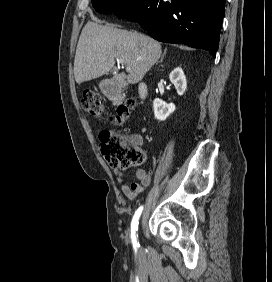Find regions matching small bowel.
I'll list each match as a JSON object with an SVG mask.
<instances>
[{"label":"small bowel","mask_w":272,"mask_h":282,"mask_svg":"<svg viewBox=\"0 0 272 282\" xmlns=\"http://www.w3.org/2000/svg\"><path fill=\"white\" fill-rule=\"evenodd\" d=\"M129 139L138 146H141L143 143V137L140 134H133ZM114 174L124 194L130 199L136 198L151 183V176L142 168H137L136 170V177L139 183L130 184L124 175V171L114 169Z\"/></svg>","instance_id":"small-bowel-1"}]
</instances>
